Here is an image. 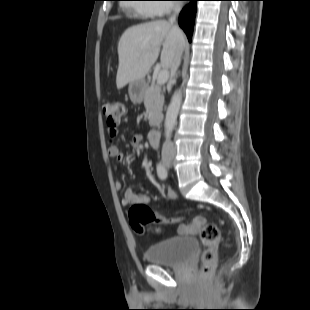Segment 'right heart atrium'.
Here are the masks:
<instances>
[{"label":"right heart atrium","instance_id":"1","mask_svg":"<svg viewBox=\"0 0 310 310\" xmlns=\"http://www.w3.org/2000/svg\"><path fill=\"white\" fill-rule=\"evenodd\" d=\"M156 4L152 7L156 10L158 15H164L169 13L173 9L172 0H156Z\"/></svg>","mask_w":310,"mask_h":310}]
</instances>
